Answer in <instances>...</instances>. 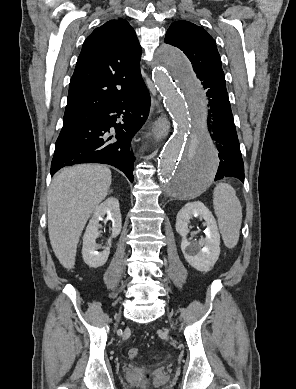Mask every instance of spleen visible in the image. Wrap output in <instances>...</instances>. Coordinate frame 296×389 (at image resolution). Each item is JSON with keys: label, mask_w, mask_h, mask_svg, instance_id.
I'll return each instance as SVG.
<instances>
[{"label": "spleen", "mask_w": 296, "mask_h": 389, "mask_svg": "<svg viewBox=\"0 0 296 389\" xmlns=\"http://www.w3.org/2000/svg\"><path fill=\"white\" fill-rule=\"evenodd\" d=\"M213 205L224 244L234 248L242 223V207L235 189L227 183L217 184L213 192Z\"/></svg>", "instance_id": "spleen-1"}]
</instances>
